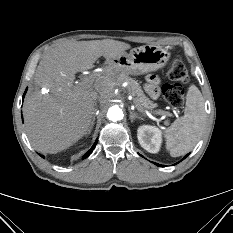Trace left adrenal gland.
Here are the masks:
<instances>
[{
    "instance_id": "a2214340",
    "label": "left adrenal gland",
    "mask_w": 233,
    "mask_h": 233,
    "mask_svg": "<svg viewBox=\"0 0 233 233\" xmlns=\"http://www.w3.org/2000/svg\"><path fill=\"white\" fill-rule=\"evenodd\" d=\"M129 112H130L131 122H134L135 119H141V120H143L142 116H140L137 113L131 111V109H129Z\"/></svg>"
}]
</instances>
